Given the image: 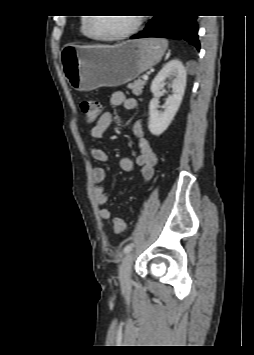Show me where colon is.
I'll return each mask as SVG.
<instances>
[{"label":"colon","instance_id":"1","mask_svg":"<svg viewBox=\"0 0 254 355\" xmlns=\"http://www.w3.org/2000/svg\"><path fill=\"white\" fill-rule=\"evenodd\" d=\"M82 112L88 122H94L98 119L101 113V105L95 100H83L80 103ZM127 229V224L124 219L116 217L113 220V230L116 234H123Z\"/></svg>","mask_w":254,"mask_h":355}]
</instances>
